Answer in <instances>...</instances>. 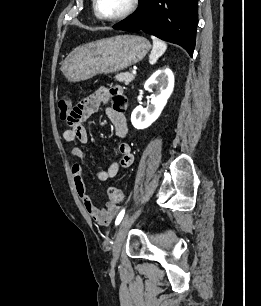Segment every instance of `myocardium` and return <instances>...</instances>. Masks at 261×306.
I'll list each match as a JSON object with an SVG mask.
<instances>
[{
	"label": "myocardium",
	"mask_w": 261,
	"mask_h": 306,
	"mask_svg": "<svg viewBox=\"0 0 261 306\" xmlns=\"http://www.w3.org/2000/svg\"><path fill=\"white\" fill-rule=\"evenodd\" d=\"M138 5H139V0H130L129 5L122 13L115 16H104L99 12L98 0H93V10L96 17L102 21H107V22H115L127 18L136 10Z\"/></svg>",
	"instance_id": "myocardium-1"
}]
</instances>
